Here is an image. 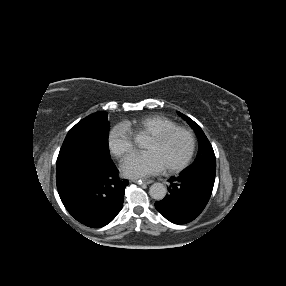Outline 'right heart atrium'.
<instances>
[{
  "label": "right heart atrium",
  "mask_w": 286,
  "mask_h": 286,
  "mask_svg": "<svg viewBox=\"0 0 286 286\" xmlns=\"http://www.w3.org/2000/svg\"><path fill=\"white\" fill-rule=\"evenodd\" d=\"M107 145L117 158H124L134 150V140L123 125L114 126L108 133Z\"/></svg>",
  "instance_id": "right-heart-atrium-1"
}]
</instances>
